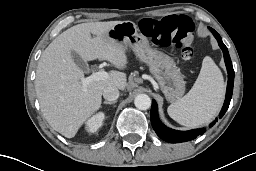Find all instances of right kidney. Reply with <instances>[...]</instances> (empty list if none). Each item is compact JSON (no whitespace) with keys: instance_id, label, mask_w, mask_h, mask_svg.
I'll use <instances>...</instances> for the list:
<instances>
[{"instance_id":"1","label":"right kidney","mask_w":256,"mask_h":171,"mask_svg":"<svg viewBox=\"0 0 256 171\" xmlns=\"http://www.w3.org/2000/svg\"><path fill=\"white\" fill-rule=\"evenodd\" d=\"M105 115L103 112H99L89 118L86 122V131L90 133L96 132L103 124Z\"/></svg>"}]
</instances>
